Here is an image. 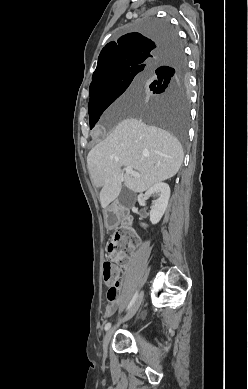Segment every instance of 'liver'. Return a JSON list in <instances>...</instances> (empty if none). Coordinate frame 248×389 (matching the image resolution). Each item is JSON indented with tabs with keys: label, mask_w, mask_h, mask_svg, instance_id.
Listing matches in <instances>:
<instances>
[{
	"label": "liver",
	"mask_w": 248,
	"mask_h": 389,
	"mask_svg": "<svg viewBox=\"0 0 248 389\" xmlns=\"http://www.w3.org/2000/svg\"><path fill=\"white\" fill-rule=\"evenodd\" d=\"M132 85L118 101H134ZM184 158L180 142L169 132L145 124L137 118L119 122L105 140L93 147L87 156V167L95 187L101 188L100 203L106 208L120 194L122 181L134 193H142L178 172ZM131 166L140 177L123 173Z\"/></svg>",
	"instance_id": "6515ba94"
}]
</instances>
